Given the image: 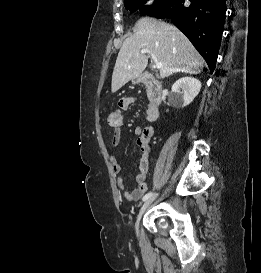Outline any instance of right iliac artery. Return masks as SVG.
Wrapping results in <instances>:
<instances>
[{
    "label": "right iliac artery",
    "mask_w": 261,
    "mask_h": 273,
    "mask_svg": "<svg viewBox=\"0 0 261 273\" xmlns=\"http://www.w3.org/2000/svg\"><path fill=\"white\" fill-rule=\"evenodd\" d=\"M152 195H153L152 192H149V193L145 194L144 197L142 198V201L148 200Z\"/></svg>",
    "instance_id": "1"
}]
</instances>
